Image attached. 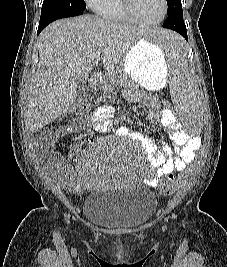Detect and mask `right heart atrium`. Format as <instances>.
<instances>
[{
    "instance_id": "d8ad5b80",
    "label": "right heart atrium",
    "mask_w": 227,
    "mask_h": 267,
    "mask_svg": "<svg viewBox=\"0 0 227 267\" xmlns=\"http://www.w3.org/2000/svg\"><path fill=\"white\" fill-rule=\"evenodd\" d=\"M109 0H84V2L93 11L99 13L108 3Z\"/></svg>"
}]
</instances>
